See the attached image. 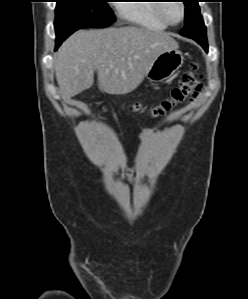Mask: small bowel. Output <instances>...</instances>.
<instances>
[{"mask_svg": "<svg viewBox=\"0 0 248 299\" xmlns=\"http://www.w3.org/2000/svg\"><path fill=\"white\" fill-rule=\"evenodd\" d=\"M158 134V129L146 128L140 133V138L146 142H151Z\"/></svg>", "mask_w": 248, "mask_h": 299, "instance_id": "obj_1", "label": "small bowel"}]
</instances>
